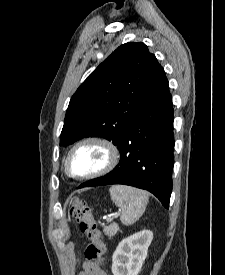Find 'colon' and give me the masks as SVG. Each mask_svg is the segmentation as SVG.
I'll return each mask as SVG.
<instances>
[{"label":"colon","mask_w":225,"mask_h":275,"mask_svg":"<svg viewBox=\"0 0 225 275\" xmlns=\"http://www.w3.org/2000/svg\"><path fill=\"white\" fill-rule=\"evenodd\" d=\"M69 214L80 225L81 232L88 240L84 255L87 260L101 264L106 252L105 243L102 240L101 231L93 216L92 209L82 199H75L70 207Z\"/></svg>","instance_id":"5ec220e1"}]
</instances>
